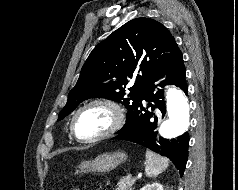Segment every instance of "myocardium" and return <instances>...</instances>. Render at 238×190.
<instances>
[{"label":"myocardium","instance_id":"obj_1","mask_svg":"<svg viewBox=\"0 0 238 190\" xmlns=\"http://www.w3.org/2000/svg\"><path fill=\"white\" fill-rule=\"evenodd\" d=\"M97 106L105 108L110 112L112 117V122L110 126L103 132L91 137L79 136L76 131V120L78 116L83 111L92 107H97ZM124 122H125V112H124V109L121 107V105L117 101L109 99V98H96L84 103L75 111L71 119L70 129H71L72 135L79 142L92 143V142L100 141L112 136L113 134H115L117 131H119L122 128V126L124 125Z\"/></svg>","mask_w":238,"mask_h":190}]
</instances>
